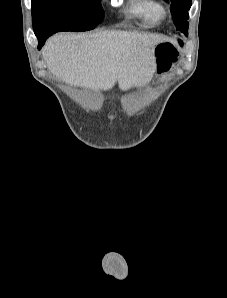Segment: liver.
Returning <instances> with one entry per match:
<instances>
[{
	"label": "liver",
	"mask_w": 227,
	"mask_h": 298,
	"mask_svg": "<svg viewBox=\"0 0 227 298\" xmlns=\"http://www.w3.org/2000/svg\"><path fill=\"white\" fill-rule=\"evenodd\" d=\"M168 41L156 34L105 30L50 37L42 51L50 72L68 84L94 91L146 86L156 70L155 47Z\"/></svg>",
	"instance_id": "1"
}]
</instances>
